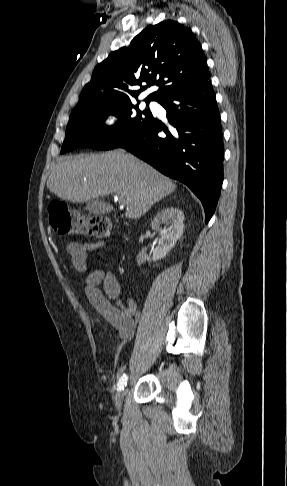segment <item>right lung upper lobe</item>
Wrapping results in <instances>:
<instances>
[{"label":"right lung upper lobe","mask_w":287,"mask_h":486,"mask_svg":"<svg viewBox=\"0 0 287 486\" xmlns=\"http://www.w3.org/2000/svg\"><path fill=\"white\" fill-rule=\"evenodd\" d=\"M209 78L205 55L192 31L176 21H162L144 29L129 46L111 52L95 67L72 112L99 103L137 99L152 85L160 88L145 100L158 101Z\"/></svg>","instance_id":"1"}]
</instances>
